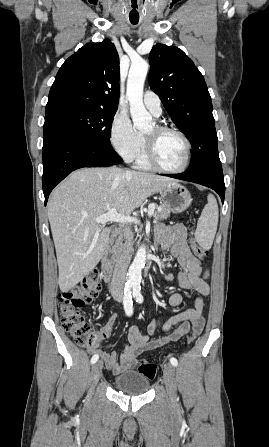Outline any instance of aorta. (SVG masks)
<instances>
[{
	"label": "aorta",
	"mask_w": 269,
	"mask_h": 447,
	"mask_svg": "<svg viewBox=\"0 0 269 447\" xmlns=\"http://www.w3.org/2000/svg\"><path fill=\"white\" fill-rule=\"evenodd\" d=\"M149 64L146 60H132L130 66L126 96L129 100L130 114L134 128L136 130H152L153 118L147 112L143 104V88L146 80ZM146 261V247H139L133 263L128 269L127 283L140 285L142 279V267Z\"/></svg>",
	"instance_id": "obj_1"
}]
</instances>
